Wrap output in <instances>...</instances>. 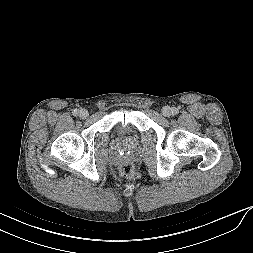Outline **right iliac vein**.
I'll return each instance as SVG.
<instances>
[{
	"label": "right iliac vein",
	"mask_w": 253,
	"mask_h": 253,
	"mask_svg": "<svg viewBox=\"0 0 253 253\" xmlns=\"http://www.w3.org/2000/svg\"><path fill=\"white\" fill-rule=\"evenodd\" d=\"M88 111L86 109H81L79 111V117L82 119H86L88 117Z\"/></svg>",
	"instance_id": "right-iliac-vein-1"
}]
</instances>
